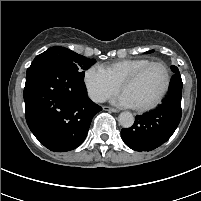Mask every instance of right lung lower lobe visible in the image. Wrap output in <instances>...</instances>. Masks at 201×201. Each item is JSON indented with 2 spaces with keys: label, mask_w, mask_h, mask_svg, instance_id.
Listing matches in <instances>:
<instances>
[{
  "label": "right lung lower lobe",
  "mask_w": 201,
  "mask_h": 201,
  "mask_svg": "<svg viewBox=\"0 0 201 201\" xmlns=\"http://www.w3.org/2000/svg\"><path fill=\"white\" fill-rule=\"evenodd\" d=\"M24 101L30 130L55 152L77 148L93 116L102 110L88 98L76 71L48 61L32 63L27 69Z\"/></svg>",
  "instance_id": "98d812e1"
}]
</instances>
